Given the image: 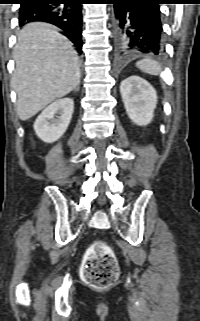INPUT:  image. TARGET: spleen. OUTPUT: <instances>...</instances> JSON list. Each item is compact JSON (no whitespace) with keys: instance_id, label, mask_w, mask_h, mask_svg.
I'll list each match as a JSON object with an SVG mask.
<instances>
[{"instance_id":"obj_1","label":"spleen","mask_w":200,"mask_h":321,"mask_svg":"<svg viewBox=\"0 0 200 321\" xmlns=\"http://www.w3.org/2000/svg\"><path fill=\"white\" fill-rule=\"evenodd\" d=\"M136 66L144 73H147L150 75H159L162 69L160 64L157 61L150 58L139 60L136 63Z\"/></svg>"}]
</instances>
